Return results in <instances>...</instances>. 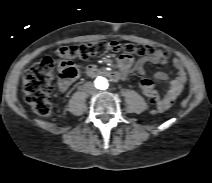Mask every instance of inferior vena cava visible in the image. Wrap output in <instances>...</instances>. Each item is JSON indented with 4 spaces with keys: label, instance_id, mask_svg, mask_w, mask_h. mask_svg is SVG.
Here are the masks:
<instances>
[{
    "label": "inferior vena cava",
    "instance_id": "inferior-vena-cava-1",
    "mask_svg": "<svg viewBox=\"0 0 212 183\" xmlns=\"http://www.w3.org/2000/svg\"><path fill=\"white\" fill-rule=\"evenodd\" d=\"M84 87H85V90L88 94L94 95V94L97 93V89L95 88V86L91 82H87L84 85Z\"/></svg>",
    "mask_w": 212,
    "mask_h": 183
}]
</instances>
